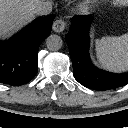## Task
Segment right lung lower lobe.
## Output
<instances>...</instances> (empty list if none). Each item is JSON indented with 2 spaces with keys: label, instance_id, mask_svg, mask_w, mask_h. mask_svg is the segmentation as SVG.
<instances>
[{
  "label": "right lung lower lobe",
  "instance_id": "right-lung-lower-lobe-1",
  "mask_svg": "<svg viewBox=\"0 0 128 128\" xmlns=\"http://www.w3.org/2000/svg\"><path fill=\"white\" fill-rule=\"evenodd\" d=\"M54 18L36 19L10 40L0 42V83L23 85L35 77L38 49L50 34Z\"/></svg>",
  "mask_w": 128,
  "mask_h": 128
}]
</instances>
